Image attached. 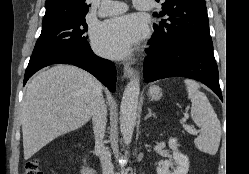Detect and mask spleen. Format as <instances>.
<instances>
[{
	"instance_id": "1",
	"label": "spleen",
	"mask_w": 249,
	"mask_h": 174,
	"mask_svg": "<svg viewBox=\"0 0 249 174\" xmlns=\"http://www.w3.org/2000/svg\"><path fill=\"white\" fill-rule=\"evenodd\" d=\"M188 98L191 100V117L200 128V135L194 140L197 149L210 155L218 151L221 139V124L200 85L190 79L184 80Z\"/></svg>"
}]
</instances>
